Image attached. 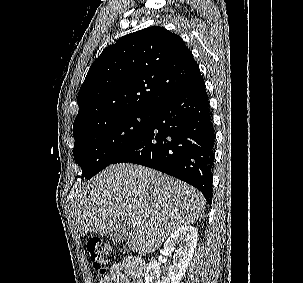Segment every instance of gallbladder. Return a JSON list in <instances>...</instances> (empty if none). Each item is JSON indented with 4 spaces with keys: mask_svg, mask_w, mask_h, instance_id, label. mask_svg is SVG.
Wrapping results in <instances>:
<instances>
[{
    "mask_svg": "<svg viewBox=\"0 0 303 283\" xmlns=\"http://www.w3.org/2000/svg\"><path fill=\"white\" fill-rule=\"evenodd\" d=\"M124 234H125V229H123V228L121 227L120 229H118V230L116 231L115 234H113V235L111 236V240H112L114 243L118 244V243H120L121 241H123V236H124Z\"/></svg>",
    "mask_w": 303,
    "mask_h": 283,
    "instance_id": "obj_1",
    "label": "gallbladder"
}]
</instances>
